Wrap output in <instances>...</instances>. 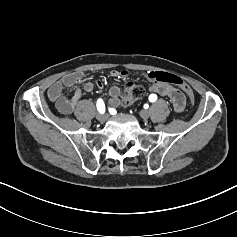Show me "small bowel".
I'll return each mask as SVG.
<instances>
[{
	"label": "small bowel",
	"instance_id": "small-bowel-1",
	"mask_svg": "<svg viewBox=\"0 0 237 237\" xmlns=\"http://www.w3.org/2000/svg\"><path fill=\"white\" fill-rule=\"evenodd\" d=\"M150 72H146L144 76L147 79L153 80L149 77ZM112 76L116 78H126L128 73L126 71H112ZM84 78V72L75 71L63 76L60 80L54 82L48 89V97L51 102L55 104L57 110L64 115H70L78 110H81L84 106L89 109L90 103L87 101H82V90L86 92L93 91L96 87L102 89L104 87V82L101 79L96 81H87L82 86H79ZM150 86V91L157 93L159 95L168 97L173 105L174 110L177 113H181L186 104L185 96L182 92L174 88L169 84H164L161 82H156ZM76 87L74 93L71 96H65L63 91L65 88ZM109 106L111 108L118 107L120 105V89L116 86H112L109 89Z\"/></svg>",
	"mask_w": 237,
	"mask_h": 237
}]
</instances>
